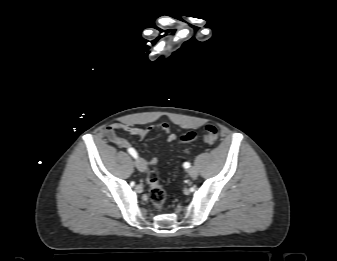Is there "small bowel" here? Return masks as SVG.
Listing matches in <instances>:
<instances>
[{
  "label": "small bowel",
  "mask_w": 337,
  "mask_h": 261,
  "mask_svg": "<svg viewBox=\"0 0 337 261\" xmlns=\"http://www.w3.org/2000/svg\"><path fill=\"white\" fill-rule=\"evenodd\" d=\"M159 129L163 133L167 135V142L171 143L175 141L176 135L174 133L170 132L169 125L166 123H160L157 125H150L147 127H137L129 124H120V123H113L111 125H108L104 128L103 133L105 136L108 138V140L115 144L117 147L122 148V149H129L132 148L129 144V142L121 137L118 134L119 130L125 131L129 133L130 135L138 138V139H143L145 138L151 131ZM147 164L154 165L158 162V157L153 155L149 156L147 159H143Z\"/></svg>",
  "instance_id": "c3829d8e"
}]
</instances>
